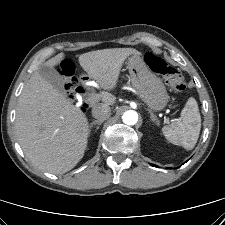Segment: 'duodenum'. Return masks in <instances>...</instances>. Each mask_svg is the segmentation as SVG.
Masks as SVG:
<instances>
[{
	"instance_id": "1",
	"label": "duodenum",
	"mask_w": 225,
	"mask_h": 225,
	"mask_svg": "<svg viewBox=\"0 0 225 225\" xmlns=\"http://www.w3.org/2000/svg\"><path fill=\"white\" fill-rule=\"evenodd\" d=\"M81 82H82V83L87 82V78H83ZM80 95H81L82 97L85 96V95H86V90H85V89H81V94H80Z\"/></svg>"
}]
</instances>
